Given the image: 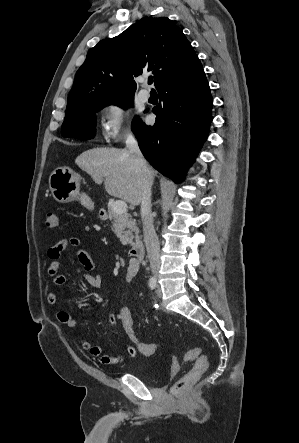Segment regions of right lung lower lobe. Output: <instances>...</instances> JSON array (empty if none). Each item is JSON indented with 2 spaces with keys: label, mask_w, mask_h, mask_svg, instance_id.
<instances>
[{
  "label": "right lung lower lobe",
  "mask_w": 299,
  "mask_h": 443,
  "mask_svg": "<svg viewBox=\"0 0 299 443\" xmlns=\"http://www.w3.org/2000/svg\"><path fill=\"white\" fill-rule=\"evenodd\" d=\"M157 91L163 104L152 110L155 124L147 126L136 117L132 131L145 158L180 183L208 135L213 105L210 88L200 67L162 83Z\"/></svg>",
  "instance_id": "98d812e1"
}]
</instances>
